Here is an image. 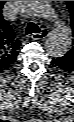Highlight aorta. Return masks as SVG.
<instances>
[{"instance_id": "aorta-1", "label": "aorta", "mask_w": 74, "mask_h": 122, "mask_svg": "<svg viewBox=\"0 0 74 122\" xmlns=\"http://www.w3.org/2000/svg\"><path fill=\"white\" fill-rule=\"evenodd\" d=\"M17 6L24 15L47 20L52 29L45 42L46 51L53 57H62L72 44L71 28L63 21L51 1H17Z\"/></svg>"}]
</instances>
